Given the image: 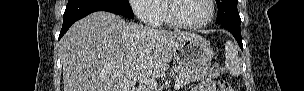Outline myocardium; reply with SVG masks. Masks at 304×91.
I'll return each instance as SVG.
<instances>
[{"label": "myocardium", "instance_id": "myocardium-1", "mask_svg": "<svg viewBox=\"0 0 304 91\" xmlns=\"http://www.w3.org/2000/svg\"><path fill=\"white\" fill-rule=\"evenodd\" d=\"M179 1H182V0H169V1H167V6H166L167 18H168L169 22L176 28L186 29V30H197V29H201V28L208 26L214 19V15H215L214 1L206 0L210 7V14L205 21L198 23V24H187V23L183 22L182 20L179 19V17L177 16V13H176L177 3Z\"/></svg>", "mask_w": 304, "mask_h": 91}]
</instances>
